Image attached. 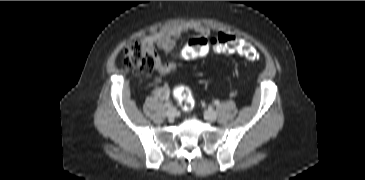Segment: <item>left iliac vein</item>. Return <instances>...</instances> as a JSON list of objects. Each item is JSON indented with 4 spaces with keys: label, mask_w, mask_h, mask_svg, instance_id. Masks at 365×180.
<instances>
[{
    "label": "left iliac vein",
    "mask_w": 365,
    "mask_h": 180,
    "mask_svg": "<svg viewBox=\"0 0 365 180\" xmlns=\"http://www.w3.org/2000/svg\"><path fill=\"white\" fill-rule=\"evenodd\" d=\"M204 117L208 121H215L217 119V113L212 109H207L204 113Z\"/></svg>",
    "instance_id": "left-iliac-vein-1"
}]
</instances>
